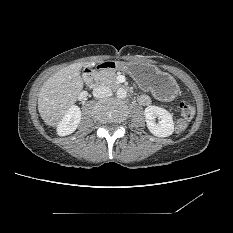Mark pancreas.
Segmentation results:
<instances>
[{"label": "pancreas", "instance_id": "obj_1", "mask_svg": "<svg viewBox=\"0 0 233 233\" xmlns=\"http://www.w3.org/2000/svg\"><path fill=\"white\" fill-rule=\"evenodd\" d=\"M95 79L99 84H119L117 82L116 73L111 70H101L99 72H96Z\"/></svg>", "mask_w": 233, "mask_h": 233}]
</instances>
